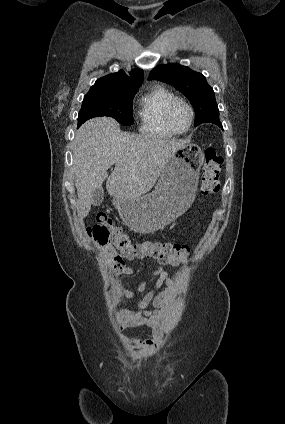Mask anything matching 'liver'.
Returning a JSON list of instances; mask_svg holds the SVG:
<instances>
[{
  "label": "liver",
  "mask_w": 285,
  "mask_h": 424,
  "mask_svg": "<svg viewBox=\"0 0 285 424\" xmlns=\"http://www.w3.org/2000/svg\"><path fill=\"white\" fill-rule=\"evenodd\" d=\"M185 145V140L122 132L109 117L88 120L77 130L72 144L78 216L85 218L89 214L92 192L106 178V189L114 199L126 201L145 195L172 153ZM113 164L114 171L108 177Z\"/></svg>",
  "instance_id": "6515ba94"
}]
</instances>
